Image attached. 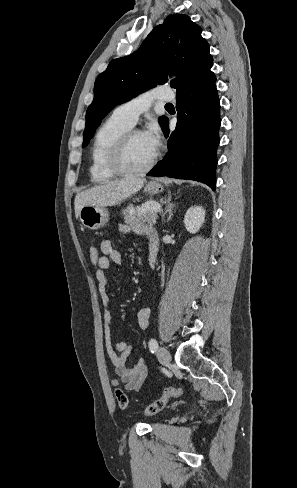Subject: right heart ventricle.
Returning a JSON list of instances; mask_svg holds the SVG:
<instances>
[{"mask_svg": "<svg viewBox=\"0 0 297 488\" xmlns=\"http://www.w3.org/2000/svg\"><path fill=\"white\" fill-rule=\"evenodd\" d=\"M131 127L113 113L99 128L91 146L89 171L94 182H108L118 176L110 169V154L118 139Z\"/></svg>", "mask_w": 297, "mask_h": 488, "instance_id": "e07e8e85", "label": "right heart ventricle"}]
</instances>
